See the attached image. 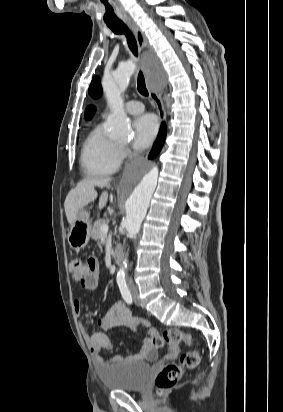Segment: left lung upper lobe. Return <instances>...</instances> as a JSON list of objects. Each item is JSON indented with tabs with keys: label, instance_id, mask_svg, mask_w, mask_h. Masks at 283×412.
Listing matches in <instances>:
<instances>
[{
	"label": "left lung upper lobe",
	"instance_id": "obj_1",
	"mask_svg": "<svg viewBox=\"0 0 283 412\" xmlns=\"http://www.w3.org/2000/svg\"><path fill=\"white\" fill-rule=\"evenodd\" d=\"M102 93L101 90V86L98 82L97 79H93L92 83L89 87V94L93 97V98H98ZM94 112V108L93 107H88L86 110V119H90L91 116L93 115Z\"/></svg>",
	"mask_w": 283,
	"mask_h": 412
}]
</instances>
